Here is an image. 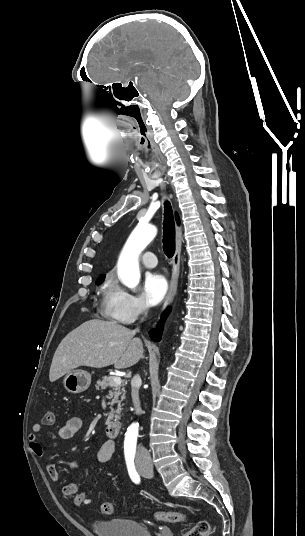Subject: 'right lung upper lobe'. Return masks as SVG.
Listing matches in <instances>:
<instances>
[{"label":"right lung upper lobe","mask_w":305,"mask_h":536,"mask_svg":"<svg viewBox=\"0 0 305 536\" xmlns=\"http://www.w3.org/2000/svg\"><path fill=\"white\" fill-rule=\"evenodd\" d=\"M176 221H177V223L179 224V217H178L177 214H176Z\"/></svg>","instance_id":"obj_1"}]
</instances>
